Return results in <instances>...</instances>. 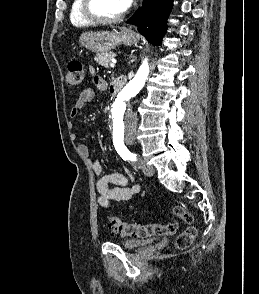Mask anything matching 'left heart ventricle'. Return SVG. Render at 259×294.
I'll return each mask as SVG.
<instances>
[{
	"label": "left heart ventricle",
	"mask_w": 259,
	"mask_h": 294,
	"mask_svg": "<svg viewBox=\"0 0 259 294\" xmlns=\"http://www.w3.org/2000/svg\"><path fill=\"white\" fill-rule=\"evenodd\" d=\"M93 10L102 17H114L124 11L121 0H93Z\"/></svg>",
	"instance_id": "1"
}]
</instances>
